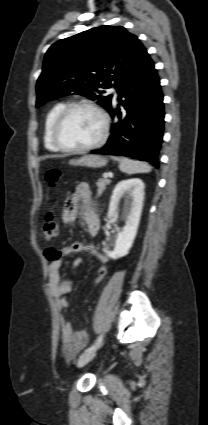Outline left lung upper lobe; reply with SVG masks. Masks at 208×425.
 <instances>
[{
  "mask_svg": "<svg viewBox=\"0 0 208 425\" xmlns=\"http://www.w3.org/2000/svg\"><path fill=\"white\" fill-rule=\"evenodd\" d=\"M146 54L137 36L122 26L103 25L57 41L45 54L36 107L75 93L97 100L107 110L112 95H104L102 89H117Z\"/></svg>",
  "mask_w": 208,
  "mask_h": 425,
  "instance_id": "obj_1",
  "label": "left lung upper lobe"
}]
</instances>
